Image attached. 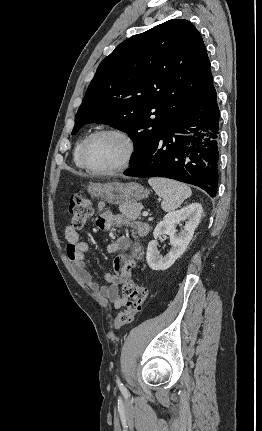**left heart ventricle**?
<instances>
[{
	"label": "left heart ventricle",
	"mask_w": 262,
	"mask_h": 431,
	"mask_svg": "<svg viewBox=\"0 0 262 431\" xmlns=\"http://www.w3.org/2000/svg\"><path fill=\"white\" fill-rule=\"evenodd\" d=\"M126 153L125 142L118 136L104 134L94 138L87 150V163L96 170L118 166Z\"/></svg>",
	"instance_id": "obj_1"
}]
</instances>
